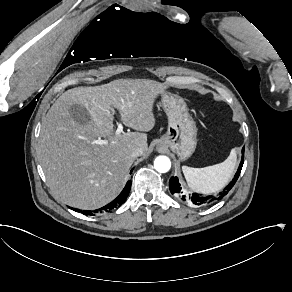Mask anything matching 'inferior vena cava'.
I'll use <instances>...</instances> for the list:
<instances>
[{"mask_svg": "<svg viewBox=\"0 0 292 292\" xmlns=\"http://www.w3.org/2000/svg\"><path fill=\"white\" fill-rule=\"evenodd\" d=\"M142 153H143L142 148H135V149L133 150L131 156H132L133 158H135V157H139L140 155H142Z\"/></svg>", "mask_w": 292, "mask_h": 292, "instance_id": "inferior-vena-cava-1", "label": "inferior vena cava"}]
</instances>
